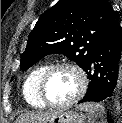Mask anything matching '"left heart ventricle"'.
<instances>
[{
    "mask_svg": "<svg viewBox=\"0 0 122 123\" xmlns=\"http://www.w3.org/2000/svg\"><path fill=\"white\" fill-rule=\"evenodd\" d=\"M79 88V77L75 71L63 68L55 71L46 87V94L50 101L62 103L72 98Z\"/></svg>",
    "mask_w": 122,
    "mask_h": 123,
    "instance_id": "1",
    "label": "left heart ventricle"
}]
</instances>
